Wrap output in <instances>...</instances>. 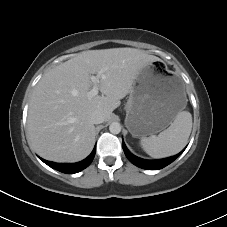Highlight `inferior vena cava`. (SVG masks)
<instances>
[{
    "label": "inferior vena cava",
    "mask_w": 227,
    "mask_h": 227,
    "mask_svg": "<svg viewBox=\"0 0 227 227\" xmlns=\"http://www.w3.org/2000/svg\"><path fill=\"white\" fill-rule=\"evenodd\" d=\"M104 114L101 111H94L90 117V120L93 124H100L104 122Z\"/></svg>",
    "instance_id": "obj_1"
}]
</instances>
